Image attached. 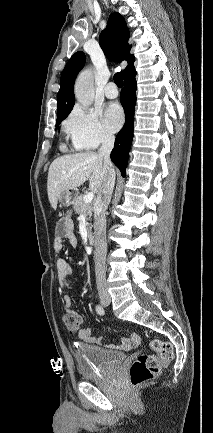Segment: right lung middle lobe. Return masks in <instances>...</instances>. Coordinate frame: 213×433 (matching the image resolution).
Here are the masks:
<instances>
[{
    "mask_svg": "<svg viewBox=\"0 0 213 433\" xmlns=\"http://www.w3.org/2000/svg\"><path fill=\"white\" fill-rule=\"evenodd\" d=\"M62 120H63V119L57 120V122H56V126H58V125L62 122Z\"/></svg>",
    "mask_w": 213,
    "mask_h": 433,
    "instance_id": "dd1d6c3e",
    "label": "right lung middle lobe"
}]
</instances>
